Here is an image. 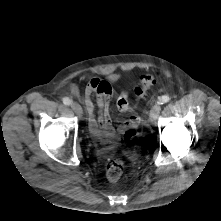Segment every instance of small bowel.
<instances>
[{
    "mask_svg": "<svg viewBox=\"0 0 221 221\" xmlns=\"http://www.w3.org/2000/svg\"><path fill=\"white\" fill-rule=\"evenodd\" d=\"M70 89L76 96L80 95L77 85L73 84ZM111 96V86L106 81L97 78L91 79L84 90V104L91 133L101 143L114 146L118 141L119 133L126 132L137 126L138 117L130 115L122 124L114 127L110 117ZM96 108H98V113ZM118 108L122 112H128L129 104L121 105L118 102Z\"/></svg>",
    "mask_w": 221,
    "mask_h": 221,
    "instance_id": "small-bowel-1",
    "label": "small bowel"
}]
</instances>
